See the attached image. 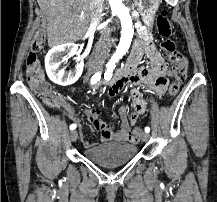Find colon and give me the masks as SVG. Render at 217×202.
Masks as SVG:
<instances>
[{"label":"colon","mask_w":217,"mask_h":202,"mask_svg":"<svg viewBox=\"0 0 217 202\" xmlns=\"http://www.w3.org/2000/svg\"><path fill=\"white\" fill-rule=\"evenodd\" d=\"M157 29L161 37V47L164 54L172 63V73L176 74V79H188L189 63L184 53L177 49L176 42L171 38L172 24L169 20V11L161 9L157 15ZM47 41V36L38 34L36 41L32 44L26 58V78L32 86L33 91L45 100L52 107H56L58 103L63 102V93H53L54 86H50L44 79L40 71V61L38 52L42 48V42ZM180 89V83H170V88L167 93L170 97H175ZM138 127H133L132 133L138 132Z\"/></svg>","instance_id":"colon-1"}]
</instances>
